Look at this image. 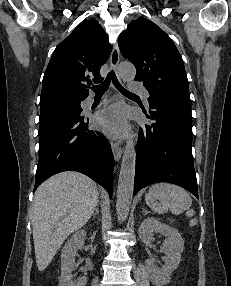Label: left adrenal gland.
I'll list each match as a JSON object with an SVG mask.
<instances>
[{
  "label": "left adrenal gland",
  "instance_id": "left-adrenal-gland-1",
  "mask_svg": "<svg viewBox=\"0 0 231 286\" xmlns=\"http://www.w3.org/2000/svg\"><path fill=\"white\" fill-rule=\"evenodd\" d=\"M143 211H144L145 214L148 213V211L146 209H144V208H143Z\"/></svg>",
  "mask_w": 231,
  "mask_h": 286
}]
</instances>
